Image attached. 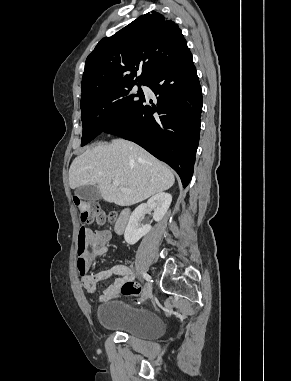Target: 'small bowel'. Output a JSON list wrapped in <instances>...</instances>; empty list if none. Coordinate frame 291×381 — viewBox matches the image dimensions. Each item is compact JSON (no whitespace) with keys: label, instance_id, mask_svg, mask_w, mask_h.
<instances>
[{"label":"small bowel","instance_id":"c3829d8e","mask_svg":"<svg viewBox=\"0 0 291 381\" xmlns=\"http://www.w3.org/2000/svg\"><path fill=\"white\" fill-rule=\"evenodd\" d=\"M89 236L92 257L105 255L108 251V244L112 238L111 232L107 229H100L89 231ZM113 276L116 277L114 283L109 285L101 295L102 300L113 299L120 296V289L124 283L134 280L132 271L124 264H116L108 270L84 275L81 279V284L88 294H94L97 289V284L100 281Z\"/></svg>","mask_w":291,"mask_h":381}]
</instances>
